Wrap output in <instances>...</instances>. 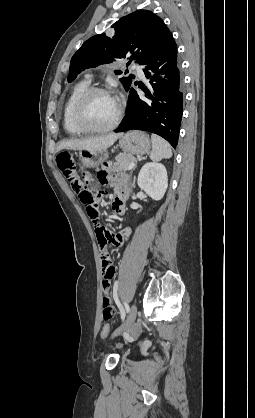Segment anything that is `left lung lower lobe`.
<instances>
[{
	"label": "left lung lower lobe",
	"instance_id": "0a47b994",
	"mask_svg": "<svg viewBox=\"0 0 255 418\" xmlns=\"http://www.w3.org/2000/svg\"><path fill=\"white\" fill-rule=\"evenodd\" d=\"M143 66L150 80V91L144 90L145 97H139L130 87L127 112L115 132L149 131L162 136L175 148L183 112V78L174 38Z\"/></svg>",
	"mask_w": 255,
	"mask_h": 418
}]
</instances>
